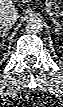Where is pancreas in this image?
<instances>
[{
	"label": "pancreas",
	"mask_w": 63,
	"mask_h": 107,
	"mask_svg": "<svg viewBox=\"0 0 63 107\" xmlns=\"http://www.w3.org/2000/svg\"><path fill=\"white\" fill-rule=\"evenodd\" d=\"M53 3L55 4V7L58 8V4H57V2L55 1V2H53Z\"/></svg>",
	"instance_id": "1"
}]
</instances>
